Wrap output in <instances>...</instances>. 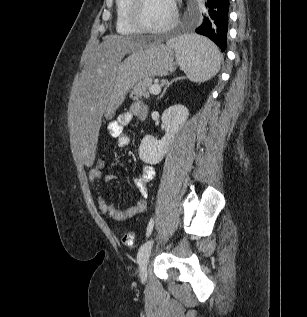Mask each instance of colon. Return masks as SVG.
<instances>
[{
  "mask_svg": "<svg viewBox=\"0 0 307 317\" xmlns=\"http://www.w3.org/2000/svg\"><path fill=\"white\" fill-rule=\"evenodd\" d=\"M106 167V161L102 157H98L95 160L94 168L98 171H103ZM121 241L126 246H132L135 241V234L133 232H128L123 234Z\"/></svg>",
  "mask_w": 307,
  "mask_h": 317,
  "instance_id": "5ec220e1",
  "label": "colon"
}]
</instances>
